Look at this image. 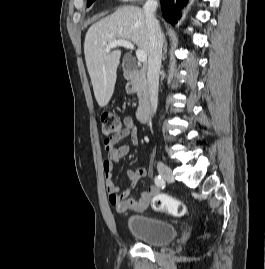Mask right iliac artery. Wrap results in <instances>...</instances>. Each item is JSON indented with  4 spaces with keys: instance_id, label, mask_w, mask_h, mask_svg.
<instances>
[{
    "instance_id": "obj_1",
    "label": "right iliac artery",
    "mask_w": 265,
    "mask_h": 269,
    "mask_svg": "<svg viewBox=\"0 0 265 269\" xmlns=\"http://www.w3.org/2000/svg\"><path fill=\"white\" fill-rule=\"evenodd\" d=\"M154 182H155V184L159 187V188H161V189H164V187H165V181H164V179L163 178H161V176H155V178H154Z\"/></svg>"
}]
</instances>
